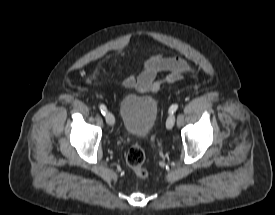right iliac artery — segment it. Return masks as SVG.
<instances>
[{
    "label": "right iliac artery",
    "instance_id": "1",
    "mask_svg": "<svg viewBox=\"0 0 275 215\" xmlns=\"http://www.w3.org/2000/svg\"><path fill=\"white\" fill-rule=\"evenodd\" d=\"M99 108H100L101 113H102L103 115H105V114H106V112H107V108H106V106H105V105H103V104H101V105L99 106Z\"/></svg>",
    "mask_w": 275,
    "mask_h": 215
}]
</instances>
